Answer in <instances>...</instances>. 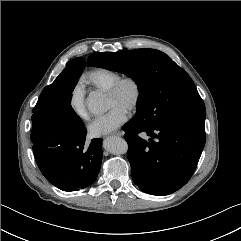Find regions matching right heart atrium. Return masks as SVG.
Here are the masks:
<instances>
[{
	"label": "right heart atrium",
	"instance_id": "1",
	"mask_svg": "<svg viewBox=\"0 0 241 241\" xmlns=\"http://www.w3.org/2000/svg\"><path fill=\"white\" fill-rule=\"evenodd\" d=\"M70 107L74 114L82 120L89 118V112L86 104V92L84 87L78 83L73 88L70 99Z\"/></svg>",
	"mask_w": 241,
	"mask_h": 241
}]
</instances>
